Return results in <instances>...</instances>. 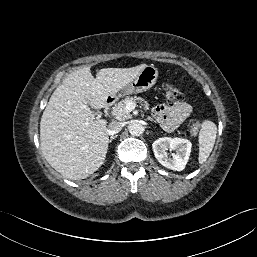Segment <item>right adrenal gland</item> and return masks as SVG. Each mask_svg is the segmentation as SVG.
Listing matches in <instances>:
<instances>
[{
    "instance_id": "2a0ac1e0",
    "label": "right adrenal gland",
    "mask_w": 257,
    "mask_h": 257,
    "mask_svg": "<svg viewBox=\"0 0 257 257\" xmlns=\"http://www.w3.org/2000/svg\"><path fill=\"white\" fill-rule=\"evenodd\" d=\"M116 137H117V135H115V136H111V137H110V139H109V143H111V142H112V140H113V139H115Z\"/></svg>"
}]
</instances>
